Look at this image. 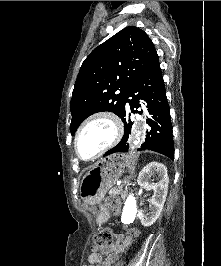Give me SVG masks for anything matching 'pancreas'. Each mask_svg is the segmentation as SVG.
Wrapping results in <instances>:
<instances>
[{"label": "pancreas", "mask_w": 221, "mask_h": 266, "mask_svg": "<svg viewBox=\"0 0 221 266\" xmlns=\"http://www.w3.org/2000/svg\"><path fill=\"white\" fill-rule=\"evenodd\" d=\"M121 191H122V186H119V187L112 188L109 193L110 195L117 196L121 194Z\"/></svg>", "instance_id": "1"}]
</instances>
